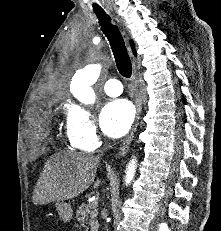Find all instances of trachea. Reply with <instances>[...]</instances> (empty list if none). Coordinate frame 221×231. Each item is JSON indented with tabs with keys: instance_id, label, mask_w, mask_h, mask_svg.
Instances as JSON below:
<instances>
[{
	"instance_id": "3493384b",
	"label": "trachea",
	"mask_w": 221,
	"mask_h": 231,
	"mask_svg": "<svg viewBox=\"0 0 221 231\" xmlns=\"http://www.w3.org/2000/svg\"><path fill=\"white\" fill-rule=\"evenodd\" d=\"M94 12L98 17L101 30L111 45L119 73L125 78H130L132 75V64L118 27L111 23V18L105 11L94 10Z\"/></svg>"
}]
</instances>
